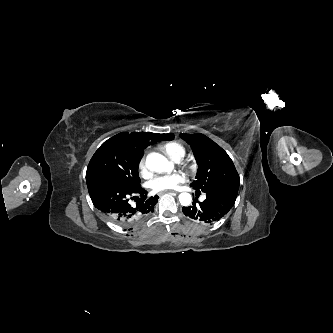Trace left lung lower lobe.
<instances>
[{"label": "left lung lower lobe", "instance_id": "left-lung-lower-lobe-1", "mask_svg": "<svg viewBox=\"0 0 333 333\" xmlns=\"http://www.w3.org/2000/svg\"><path fill=\"white\" fill-rule=\"evenodd\" d=\"M206 199L203 202L193 201L192 206L183 207V213L198 222L212 224L224 217L233 207L237 193L229 192H205ZM220 201H226L220 203Z\"/></svg>", "mask_w": 333, "mask_h": 333}]
</instances>
